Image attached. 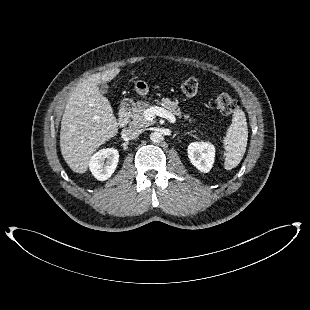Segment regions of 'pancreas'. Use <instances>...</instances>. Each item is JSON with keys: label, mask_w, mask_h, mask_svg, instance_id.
<instances>
[{"label": "pancreas", "mask_w": 310, "mask_h": 310, "mask_svg": "<svg viewBox=\"0 0 310 310\" xmlns=\"http://www.w3.org/2000/svg\"><path fill=\"white\" fill-rule=\"evenodd\" d=\"M157 103L164 107L168 112L179 116V118L182 117V112L177 102H173L170 99L165 98L162 99L160 102L157 101ZM150 107L151 106L148 102H138L136 108L133 111L132 121L130 122V125L134 128L148 127L151 123L145 119L144 112ZM184 118L189 119L190 122L192 121L189 115H184Z\"/></svg>", "instance_id": "cf45deb5"}]
</instances>
